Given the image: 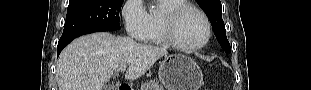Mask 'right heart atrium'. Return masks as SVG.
<instances>
[{"instance_id":"d8ad5b80","label":"right heart atrium","mask_w":311,"mask_h":90,"mask_svg":"<svg viewBox=\"0 0 311 90\" xmlns=\"http://www.w3.org/2000/svg\"><path fill=\"white\" fill-rule=\"evenodd\" d=\"M122 17L128 37L144 40L148 30V12L142 0H127L122 9Z\"/></svg>"}]
</instances>
